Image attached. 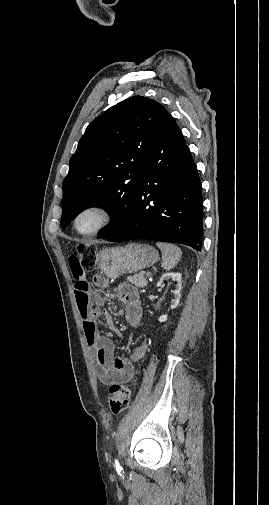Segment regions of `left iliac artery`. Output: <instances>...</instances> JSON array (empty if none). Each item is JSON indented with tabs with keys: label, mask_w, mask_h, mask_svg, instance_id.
Here are the masks:
<instances>
[{
	"label": "left iliac artery",
	"mask_w": 269,
	"mask_h": 505,
	"mask_svg": "<svg viewBox=\"0 0 269 505\" xmlns=\"http://www.w3.org/2000/svg\"><path fill=\"white\" fill-rule=\"evenodd\" d=\"M115 467H116V470L119 474H122L123 473V468L122 466L120 465L119 461L116 459L115 460Z\"/></svg>",
	"instance_id": "44dca946"
}]
</instances>
